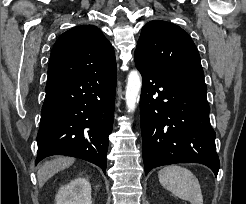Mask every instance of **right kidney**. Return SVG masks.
I'll use <instances>...</instances> for the list:
<instances>
[{
  "label": "right kidney",
  "mask_w": 246,
  "mask_h": 204,
  "mask_svg": "<svg viewBox=\"0 0 246 204\" xmlns=\"http://www.w3.org/2000/svg\"><path fill=\"white\" fill-rule=\"evenodd\" d=\"M56 204H92L91 185L85 178H77L62 186L56 197Z\"/></svg>",
  "instance_id": "right-kidney-1"
}]
</instances>
